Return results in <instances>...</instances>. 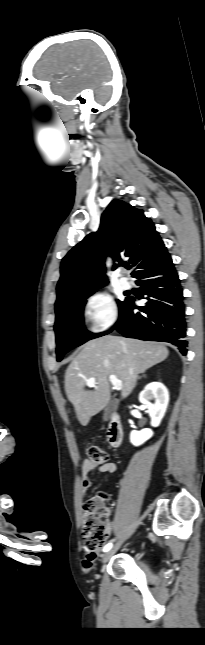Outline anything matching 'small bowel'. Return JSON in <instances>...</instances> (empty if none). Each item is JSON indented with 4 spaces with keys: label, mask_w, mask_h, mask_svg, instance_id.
Here are the masks:
<instances>
[{
    "label": "small bowel",
    "mask_w": 205,
    "mask_h": 645,
    "mask_svg": "<svg viewBox=\"0 0 205 645\" xmlns=\"http://www.w3.org/2000/svg\"><path fill=\"white\" fill-rule=\"evenodd\" d=\"M116 468H117L116 464L112 462H107L101 466H95L92 463H90L88 460L83 461L82 469H81V486L83 491L88 490L92 485L91 478L89 476L91 472L98 471L101 473L111 474L116 471ZM108 513L109 511L107 510V514ZM96 557H97V553L88 552L84 559V564L87 567H90L93 564Z\"/></svg>",
    "instance_id": "1"
}]
</instances>
